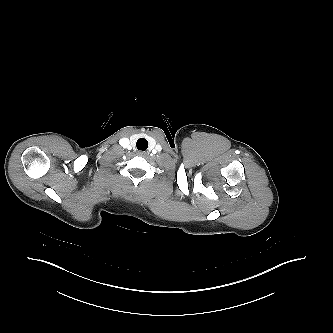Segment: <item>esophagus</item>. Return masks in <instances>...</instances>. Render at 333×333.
<instances>
[{
	"label": "esophagus",
	"mask_w": 333,
	"mask_h": 333,
	"mask_svg": "<svg viewBox=\"0 0 333 333\" xmlns=\"http://www.w3.org/2000/svg\"><path fill=\"white\" fill-rule=\"evenodd\" d=\"M137 155H139V156H145V155H146V152H144V151H138V152H137Z\"/></svg>",
	"instance_id": "esophagus-1"
}]
</instances>
